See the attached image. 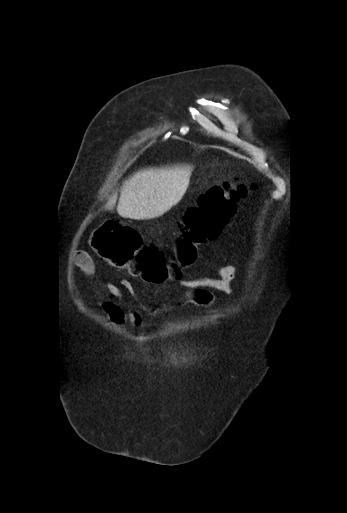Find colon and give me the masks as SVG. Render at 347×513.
Here are the masks:
<instances>
[{"instance_id": "obj_1", "label": "colon", "mask_w": 347, "mask_h": 513, "mask_svg": "<svg viewBox=\"0 0 347 513\" xmlns=\"http://www.w3.org/2000/svg\"><path fill=\"white\" fill-rule=\"evenodd\" d=\"M251 188L234 179L200 194L179 224L174 261H168L158 246L143 244L133 228L117 221L105 222L95 232L92 245L107 263L152 284L164 283L181 276V268L196 261L200 247L220 236L235 215L237 202Z\"/></svg>"}]
</instances>
